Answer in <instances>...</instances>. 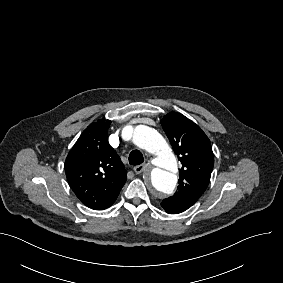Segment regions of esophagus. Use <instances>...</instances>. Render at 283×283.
<instances>
[{"label": "esophagus", "mask_w": 283, "mask_h": 283, "mask_svg": "<svg viewBox=\"0 0 283 283\" xmlns=\"http://www.w3.org/2000/svg\"><path fill=\"white\" fill-rule=\"evenodd\" d=\"M147 167V164H140L137 165L133 168V170L135 171L136 174H140L142 171H144Z\"/></svg>", "instance_id": "1"}]
</instances>
